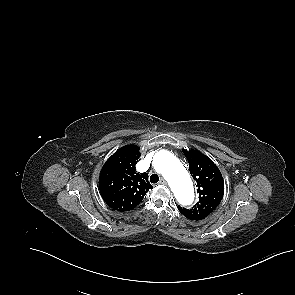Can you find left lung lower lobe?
Returning a JSON list of instances; mask_svg holds the SVG:
<instances>
[{
	"label": "left lung lower lobe",
	"instance_id": "0a47b994",
	"mask_svg": "<svg viewBox=\"0 0 295 295\" xmlns=\"http://www.w3.org/2000/svg\"><path fill=\"white\" fill-rule=\"evenodd\" d=\"M181 214H183L186 218H188V219H191V220H199L198 218H196V217H193V216H191V215H188V214H186V213H184V212H181Z\"/></svg>",
	"mask_w": 295,
	"mask_h": 295
}]
</instances>
